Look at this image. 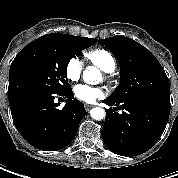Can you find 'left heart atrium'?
<instances>
[{
  "label": "left heart atrium",
  "instance_id": "obj_1",
  "mask_svg": "<svg viewBox=\"0 0 178 178\" xmlns=\"http://www.w3.org/2000/svg\"><path fill=\"white\" fill-rule=\"evenodd\" d=\"M74 94L77 99L83 102L93 103L102 98L105 94V91L101 87H92L86 84H79L75 86Z\"/></svg>",
  "mask_w": 178,
  "mask_h": 178
}]
</instances>
